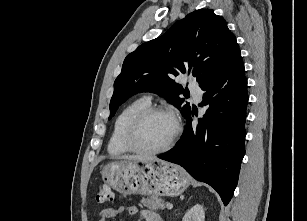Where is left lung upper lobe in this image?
I'll return each instance as SVG.
<instances>
[{"instance_id":"obj_1","label":"left lung upper lobe","mask_w":307,"mask_h":221,"mask_svg":"<svg viewBox=\"0 0 307 221\" xmlns=\"http://www.w3.org/2000/svg\"><path fill=\"white\" fill-rule=\"evenodd\" d=\"M240 52L225 20L211 9L196 10L175 23L164 35L140 45L124 60L114 83L110 117L130 96L153 92L191 114L189 103L180 95L183 87L175 77L192 74L201 89L217 78Z\"/></svg>"}]
</instances>
